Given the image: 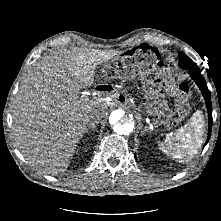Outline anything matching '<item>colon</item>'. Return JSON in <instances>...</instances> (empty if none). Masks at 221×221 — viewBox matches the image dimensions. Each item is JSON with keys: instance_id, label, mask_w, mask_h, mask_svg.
Returning <instances> with one entry per match:
<instances>
[{"instance_id": "colon-1", "label": "colon", "mask_w": 221, "mask_h": 221, "mask_svg": "<svg viewBox=\"0 0 221 221\" xmlns=\"http://www.w3.org/2000/svg\"><path fill=\"white\" fill-rule=\"evenodd\" d=\"M153 50L145 45L140 46L138 49L132 50L129 57L121 59L118 63H113L105 66L104 73L109 78H117L119 76L132 74V71L128 69L127 64L135 61L140 62V70L145 71L152 67V62L155 57L151 54ZM188 92L186 84H180L177 88V93L180 98L176 103V110L178 112L184 111L186 106L184 98Z\"/></svg>"}]
</instances>
